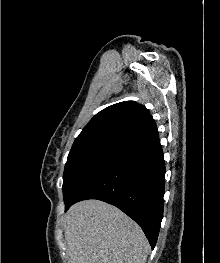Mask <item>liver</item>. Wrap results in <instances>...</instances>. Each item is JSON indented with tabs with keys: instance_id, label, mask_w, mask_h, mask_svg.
<instances>
[{
	"instance_id": "1",
	"label": "liver",
	"mask_w": 220,
	"mask_h": 263,
	"mask_svg": "<svg viewBox=\"0 0 220 263\" xmlns=\"http://www.w3.org/2000/svg\"><path fill=\"white\" fill-rule=\"evenodd\" d=\"M69 263H145L149 242L138 224L99 200L81 201L64 216Z\"/></svg>"
}]
</instances>
